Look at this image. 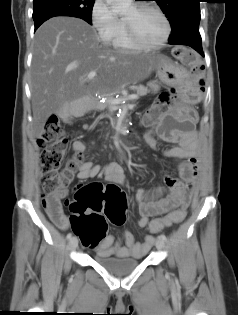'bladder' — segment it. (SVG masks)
Returning <instances> with one entry per match:
<instances>
[{"mask_svg":"<svg viewBox=\"0 0 238 315\" xmlns=\"http://www.w3.org/2000/svg\"><path fill=\"white\" fill-rule=\"evenodd\" d=\"M95 262L114 275H124L135 269L141 262L136 258H107L100 255L94 257Z\"/></svg>","mask_w":238,"mask_h":315,"instance_id":"obj_1","label":"bladder"}]
</instances>
